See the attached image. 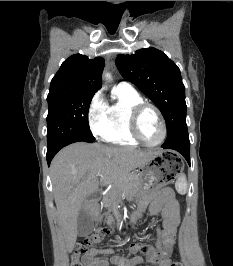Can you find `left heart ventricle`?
<instances>
[{
    "instance_id": "obj_1",
    "label": "left heart ventricle",
    "mask_w": 233,
    "mask_h": 266,
    "mask_svg": "<svg viewBox=\"0 0 233 266\" xmlns=\"http://www.w3.org/2000/svg\"><path fill=\"white\" fill-rule=\"evenodd\" d=\"M139 131L148 143H156L162 135V127L157 114L152 109H146L139 121Z\"/></svg>"
}]
</instances>
